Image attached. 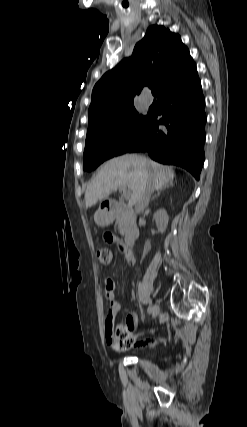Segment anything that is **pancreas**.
I'll return each mask as SVG.
<instances>
[{"mask_svg": "<svg viewBox=\"0 0 247 427\" xmlns=\"http://www.w3.org/2000/svg\"><path fill=\"white\" fill-rule=\"evenodd\" d=\"M129 223L128 214L124 210H119L116 214V224L121 235H124Z\"/></svg>", "mask_w": 247, "mask_h": 427, "instance_id": "obj_1", "label": "pancreas"}]
</instances>
